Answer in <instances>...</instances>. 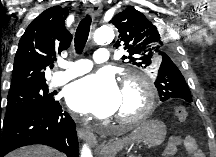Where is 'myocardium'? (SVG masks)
Returning a JSON list of instances; mask_svg holds the SVG:
<instances>
[{
    "mask_svg": "<svg viewBox=\"0 0 216 157\" xmlns=\"http://www.w3.org/2000/svg\"><path fill=\"white\" fill-rule=\"evenodd\" d=\"M123 90L135 88L141 95V108L130 116H117L116 120L125 126H134L145 120L156 104V92L151 83L139 74H127L124 77Z\"/></svg>",
    "mask_w": 216,
    "mask_h": 157,
    "instance_id": "1",
    "label": "myocardium"
}]
</instances>
